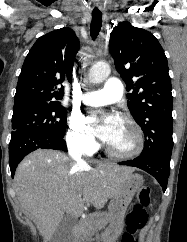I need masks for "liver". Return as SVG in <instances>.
<instances>
[{
    "mask_svg": "<svg viewBox=\"0 0 187 242\" xmlns=\"http://www.w3.org/2000/svg\"><path fill=\"white\" fill-rule=\"evenodd\" d=\"M134 168L103 164L79 166L65 154L36 150L17 167L14 187L44 242L52 239L64 214L79 217L85 204L101 209L125 186Z\"/></svg>",
    "mask_w": 187,
    "mask_h": 242,
    "instance_id": "6515ba94",
    "label": "liver"
}]
</instances>
